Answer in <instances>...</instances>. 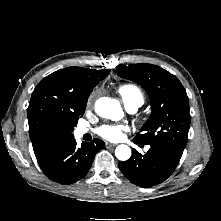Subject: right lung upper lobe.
<instances>
[{
  "instance_id": "right-lung-upper-lobe-1",
  "label": "right lung upper lobe",
  "mask_w": 221,
  "mask_h": 221,
  "mask_svg": "<svg viewBox=\"0 0 221 221\" xmlns=\"http://www.w3.org/2000/svg\"><path fill=\"white\" fill-rule=\"evenodd\" d=\"M110 69L68 67L58 70L35 87L28 106L29 135L37 159L73 136V122L86 108L93 88Z\"/></svg>"
}]
</instances>
